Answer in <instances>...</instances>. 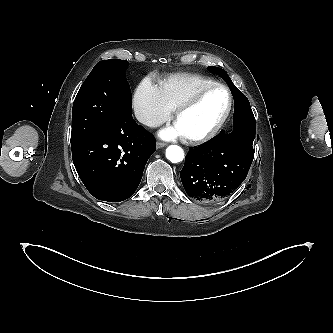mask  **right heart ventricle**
Listing matches in <instances>:
<instances>
[{
    "mask_svg": "<svg viewBox=\"0 0 333 333\" xmlns=\"http://www.w3.org/2000/svg\"><path fill=\"white\" fill-rule=\"evenodd\" d=\"M215 83L207 76L193 73H177L162 80L159 85L163 99L173 111L199 89Z\"/></svg>",
    "mask_w": 333,
    "mask_h": 333,
    "instance_id": "1",
    "label": "right heart ventricle"
}]
</instances>
